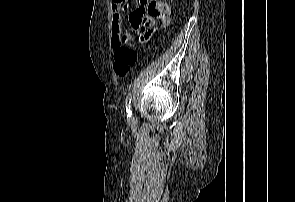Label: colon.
<instances>
[{"label":"colon","mask_w":295,"mask_h":202,"mask_svg":"<svg viewBox=\"0 0 295 202\" xmlns=\"http://www.w3.org/2000/svg\"><path fill=\"white\" fill-rule=\"evenodd\" d=\"M129 43L130 38L124 37L122 44L114 52L113 70L120 77H124L130 72L137 59V54L129 46Z\"/></svg>","instance_id":"1"}]
</instances>
